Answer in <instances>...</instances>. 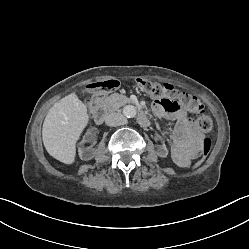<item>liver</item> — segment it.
<instances>
[{"label":"liver","instance_id":"liver-1","mask_svg":"<svg viewBox=\"0 0 249 249\" xmlns=\"http://www.w3.org/2000/svg\"><path fill=\"white\" fill-rule=\"evenodd\" d=\"M89 122L86 105L75 93L55 103L49 110L42 129L47 152L64 164L76 157V143Z\"/></svg>","mask_w":249,"mask_h":249}]
</instances>
